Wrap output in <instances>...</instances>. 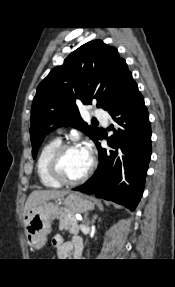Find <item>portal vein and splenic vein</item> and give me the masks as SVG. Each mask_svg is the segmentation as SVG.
Returning a JSON list of instances; mask_svg holds the SVG:
<instances>
[{"instance_id": "18ae733b", "label": "portal vein and splenic vein", "mask_w": 175, "mask_h": 287, "mask_svg": "<svg viewBox=\"0 0 175 287\" xmlns=\"http://www.w3.org/2000/svg\"><path fill=\"white\" fill-rule=\"evenodd\" d=\"M76 220L81 221V220H82V218H81V217H79V216H77V217H76Z\"/></svg>"}]
</instances>
